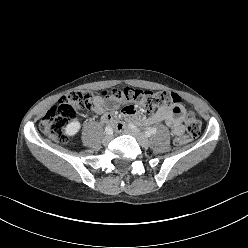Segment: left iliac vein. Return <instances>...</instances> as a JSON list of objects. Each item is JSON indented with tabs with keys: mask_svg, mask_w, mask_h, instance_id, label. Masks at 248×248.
Instances as JSON below:
<instances>
[{
	"mask_svg": "<svg viewBox=\"0 0 248 248\" xmlns=\"http://www.w3.org/2000/svg\"><path fill=\"white\" fill-rule=\"evenodd\" d=\"M124 133L133 136L138 141L140 146L144 148H147L149 146V139L144 134L140 133L139 131H136L135 129H132V128H126L124 130Z\"/></svg>",
	"mask_w": 248,
	"mask_h": 248,
	"instance_id": "obj_1",
	"label": "left iliac vein"
}]
</instances>
